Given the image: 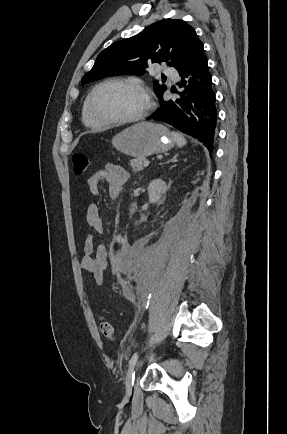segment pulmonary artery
I'll return each mask as SVG.
<instances>
[{"mask_svg":"<svg viewBox=\"0 0 287 434\" xmlns=\"http://www.w3.org/2000/svg\"><path fill=\"white\" fill-rule=\"evenodd\" d=\"M164 73L166 76L173 78V79H177V77H178L177 71L172 67H166L164 70Z\"/></svg>","mask_w":287,"mask_h":434,"instance_id":"pulmonary-artery-1","label":"pulmonary artery"}]
</instances>
